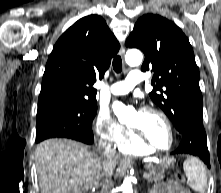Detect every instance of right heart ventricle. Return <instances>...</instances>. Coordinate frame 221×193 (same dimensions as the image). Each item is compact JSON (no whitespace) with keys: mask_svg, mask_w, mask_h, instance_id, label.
Here are the masks:
<instances>
[{"mask_svg":"<svg viewBox=\"0 0 221 193\" xmlns=\"http://www.w3.org/2000/svg\"><path fill=\"white\" fill-rule=\"evenodd\" d=\"M115 148L124 154L142 155L150 153L146 147L140 144L134 136L131 135H127Z\"/></svg>","mask_w":221,"mask_h":193,"instance_id":"right-heart-ventricle-1","label":"right heart ventricle"}]
</instances>
